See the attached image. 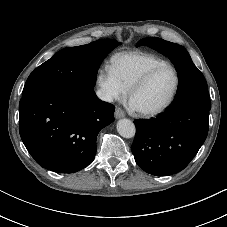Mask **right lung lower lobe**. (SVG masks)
Returning a JSON list of instances; mask_svg holds the SVG:
<instances>
[{"label":"right lung lower lobe","mask_w":227,"mask_h":227,"mask_svg":"<svg viewBox=\"0 0 227 227\" xmlns=\"http://www.w3.org/2000/svg\"><path fill=\"white\" fill-rule=\"evenodd\" d=\"M114 110L96 97L93 88H42L20 100V136L40 166L73 173L93 161L97 135L114 121Z\"/></svg>","instance_id":"right-lung-lower-lobe-1"}]
</instances>
